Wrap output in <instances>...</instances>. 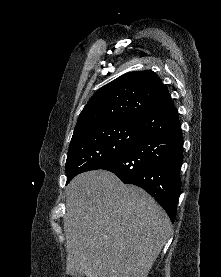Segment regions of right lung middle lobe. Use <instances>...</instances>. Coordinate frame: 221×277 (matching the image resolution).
I'll list each match as a JSON object with an SVG mask.
<instances>
[{
    "mask_svg": "<svg viewBox=\"0 0 221 277\" xmlns=\"http://www.w3.org/2000/svg\"><path fill=\"white\" fill-rule=\"evenodd\" d=\"M139 133L138 121L92 127L74 134L65 165L67 183L77 174L121 158Z\"/></svg>",
    "mask_w": 221,
    "mask_h": 277,
    "instance_id": "1",
    "label": "right lung middle lobe"
}]
</instances>
